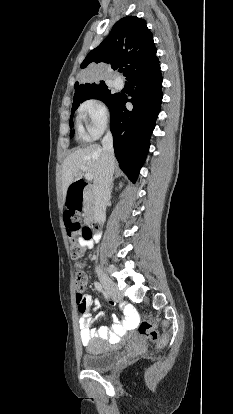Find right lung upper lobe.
I'll list each match as a JSON object with an SVG mask.
<instances>
[{
    "instance_id": "cb5924a9",
    "label": "right lung upper lobe",
    "mask_w": 233,
    "mask_h": 414,
    "mask_svg": "<svg viewBox=\"0 0 233 414\" xmlns=\"http://www.w3.org/2000/svg\"><path fill=\"white\" fill-rule=\"evenodd\" d=\"M156 52L153 35L147 28L146 21L136 16H127L120 19L109 36L87 55L81 69L85 76H89L99 63L108 64L114 70L124 66V75L129 80L150 73L160 66ZM100 85H105V82H76L74 99Z\"/></svg>"
}]
</instances>
